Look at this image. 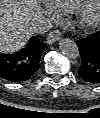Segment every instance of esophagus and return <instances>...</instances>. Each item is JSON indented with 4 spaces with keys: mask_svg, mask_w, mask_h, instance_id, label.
<instances>
[{
    "mask_svg": "<svg viewBox=\"0 0 100 118\" xmlns=\"http://www.w3.org/2000/svg\"><path fill=\"white\" fill-rule=\"evenodd\" d=\"M62 33L59 30H52L46 38V42L48 44H52L54 42H57L61 39Z\"/></svg>",
    "mask_w": 100,
    "mask_h": 118,
    "instance_id": "obj_1",
    "label": "esophagus"
}]
</instances>
